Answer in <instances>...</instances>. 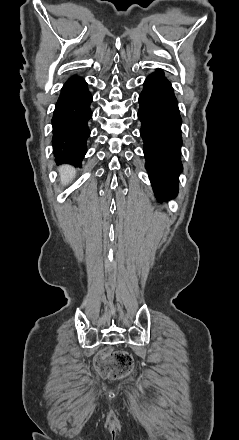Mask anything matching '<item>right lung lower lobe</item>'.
Instances as JSON below:
<instances>
[{
  "label": "right lung lower lobe",
  "mask_w": 239,
  "mask_h": 440,
  "mask_svg": "<svg viewBox=\"0 0 239 440\" xmlns=\"http://www.w3.org/2000/svg\"><path fill=\"white\" fill-rule=\"evenodd\" d=\"M92 99L82 77L73 76L63 85L52 118V145L57 163L81 166L90 135L87 122L92 117Z\"/></svg>",
  "instance_id": "1"
}]
</instances>
